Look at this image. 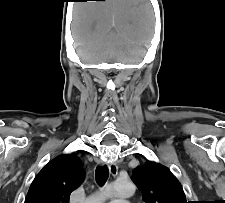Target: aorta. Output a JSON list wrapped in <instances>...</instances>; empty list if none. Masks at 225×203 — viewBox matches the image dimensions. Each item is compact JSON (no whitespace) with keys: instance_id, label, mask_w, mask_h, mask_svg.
Segmentation results:
<instances>
[{"instance_id":"762f6f07","label":"aorta","mask_w":225,"mask_h":203,"mask_svg":"<svg viewBox=\"0 0 225 203\" xmlns=\"http://www.w3.org/2000/svg\"><path fill=\"white\" fill-rule=\"evenodd\" d=\"M134 191L135 187L131 181H115L91 195L87 203H104L107 198L111 197H129Z\"/></svg>"}]
</instances>
